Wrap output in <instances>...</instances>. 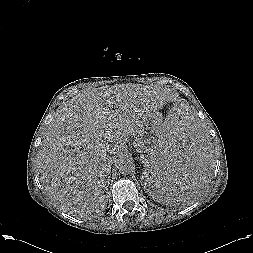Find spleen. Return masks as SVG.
<instances>
[{
	"label": "spleen",
	"mask_w": 253,
	"mask_h": 253,
	"mask_svg": "<svg viewBox=\"0 0 253 253\" xmlns=\"http://www.w3.org/2000/svg\"><path fill=\"white\" fill-rule=\"evenodd\" d=\"M139 175L146 191L160 203L192 199L209 183L211 146L194 110L178 107L166 115Z\"/></svg>",
	"instance_id": "spleen-1"
}]
</instances>
